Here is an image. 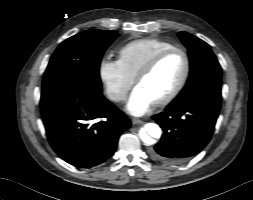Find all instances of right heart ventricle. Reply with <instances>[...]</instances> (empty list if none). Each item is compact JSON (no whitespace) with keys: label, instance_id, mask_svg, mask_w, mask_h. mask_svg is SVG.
Segmentation results:
<instances>
[{"label":"right heart ventricle","instance_id":"right-heart-ventricle-1","mask_svg":"<svg viewBox=\"0 0 253 200\" xmlns=\"http://www.w3.org/2000/svg\"><path fill=\"white\" fill-rule=\"evenodd\" d=\"M173 47L175 46L172 43L156 38L134 40L120 48L119 61L127 74L135 78L139 70L153 57Z\"/></svg>","mask_w":253,"mask_h":200}]
</instances>
